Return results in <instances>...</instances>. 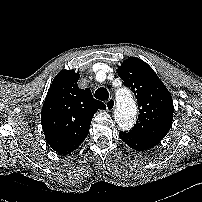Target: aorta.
Segmentation results:
<instances>
[{
  "instance_id": "aorta-1",
  "label": "aorta",
  "mask_w": 202,
  "mask_h": 202,
  "mask_svg": "<svg viewBox=\"0 0 202 202\" xmlns=\"http://www.w3.org/2000/svg\"><path fill=\"white\" fill-rule=\"evenodd\" d=\"M117 106L115 109V121L123 130H129L133 127L137 118V106L127 89H121L117 92Z\"/></svg>"
}]
</instances>
